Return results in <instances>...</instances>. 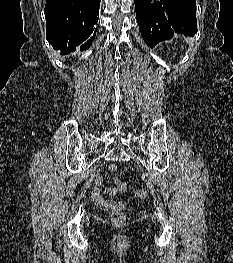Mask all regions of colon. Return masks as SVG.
Segmentation results:
<instances>
[{
    "label": "colon",
    "mask_w": 233,
    "mask_h": 263,
    "mask_svg": "<svg viewBox=\"0 0 233 263\" xmlns=\"http://www.w3.org/2000/svg\"><path fill=\"white\" fill-rule=\"evenodd\" d=\"M110 170L112 172H115L117 170V166L114 164L110 165ZM115 181H116V187L119 191H123L127 188L126 182L121 181L117 178ZM132 191H133L134 196L138 199H145L147 197V191L143 188H136V189H133ZM109 217L111 221L116 225H122L125 222L124 214L119 211H111L109 213Z\"/></svg>",
    "instance_id": "obj_1"
}]
</instances>
